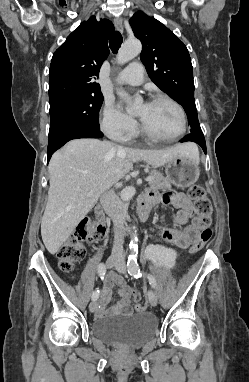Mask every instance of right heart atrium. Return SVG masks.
Masks as SVG:
<instances>
[{
    "mask_svg": "<svg viewBox=\"0 0 249 382\" xmlns=\"http://www.w3.org/2000/svg\"><path fill=\"white\" fill-rule=\"evenodd\" d=\"M101 128L105 134L113 139L128 141L136 134L137 123L108 101L103 108Z\"/></svg>",
    "mask_w": 249,
    "mask_h": 382,
    "instance_id": "right-heart-atrium-1",
    "label": "right heart atrium"
}]
</instances>
